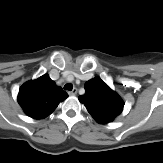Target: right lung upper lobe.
I'll list each match as a JSON object with an SVG mask.
<instances>
[{
	"label": "right lung upper lobe",
	"instance_id": "right-lung-upper-lobe-1",
	"mask_svg": "<svg viewBox=\"0 0 163 163\" xmlns=\"http://www.w3.org/2000/svg\"><path fill=\"white\" fill-rule=\"evenodd\" d=\"M67 97L68 94L45 74L21 86L18 103L28 116L41 119L50 115Z\"/></svg>",
	"mask_w": 163,
	"mask_h": 163
}]
</instances>
